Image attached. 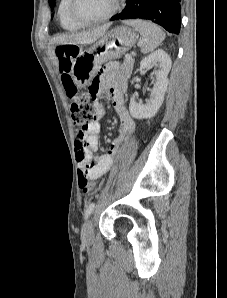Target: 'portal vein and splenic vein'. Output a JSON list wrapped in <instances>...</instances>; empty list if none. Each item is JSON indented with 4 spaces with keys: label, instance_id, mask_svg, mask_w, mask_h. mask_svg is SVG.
Masks as SVG:
<instances>
[{
    "label": "portal vein and splenic vein",
    "instance_id": "portal-vein-and-splenic-vein-1",
    "mask_svg": "<svg viewBox=\"0 0 227 298\" xmlns=\"http://www.w3.org/2000/svg\"><path fill=\"white\" fill-rule=\"evenodd\" d=\"M125 58H126L127 60L132 59L131 55H129V54H126V55H125Z\"/></svg>",
    "mask_w": 227,
    "mask_h": 298
}]
</instances>
